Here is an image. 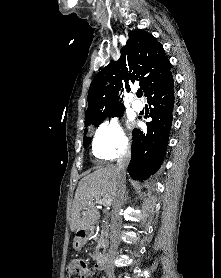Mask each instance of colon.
Listing matches in <instances>:
<instances>
[{
  "instance_id": "obj_1",
  "label": "colon",
  "mask_w": 221,
  "mask_h": 278,
  "mask_svg": "<svg viewBox=\"0 0 221 278\" xmlns=\"http://www.w3.org/2000/svg\"><path fill=\"white\" fill-rule=\"evenodd\" d=\"M88 262L84 259H72L68 263L69 278H86L89 272Z\"/></svg>"
}]
</instances>
